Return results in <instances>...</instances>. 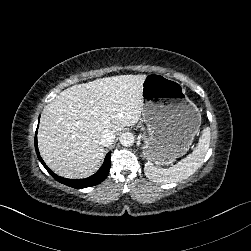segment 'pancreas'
Returning <instances> with one entry per match:
<instances>
[{
  "instance_id": "obj_1",
  "label": "pancreas",
  "mask_w": 251,
  "mask_h": 251,
  "mask_svg": "<svg viewBox=\"0 0 251 251\" xmlns=\"http://www.w3.org/2000/svg\"><path fill=\"white\" fill-rule=\"evenodd\" d=\"M140 129H141L140 136L142 137V139L145 140V138L147 137V131L145 129V126L144 125H140Z\"/></svg>"
}]
</instances>
